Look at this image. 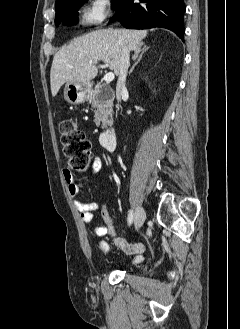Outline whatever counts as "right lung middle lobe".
Masks as SVG:
<instances>
[{
  "label": "right lung middle lobe",
  "mask_w": 240,
  "mask_h": 329,
  "mask_svg": "<svg viewBox=\"0 0 240 329\" xmlns=\"http://www.w3.org/2000/svg\"><path fill=\"white\" fill-rule=\"evenodd\" d=\"M87 0H68L61 4L60 6L56 7V16L55 22L57 25L59 23L63 24H75L78 21L77 13L80 7L84 2ZM123 0H113L112 3L114 4V9L121 4Z\"/></svg>",
  "instance_id": "1"
}]
</instances>
